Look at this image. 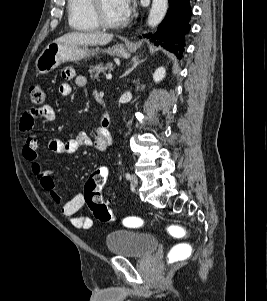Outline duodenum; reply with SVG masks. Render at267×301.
Listing matches in <instances>:
<instances>
[{
  "label": "duodenum",
  "mask_w": 267,
  "mask_h": 301,
  "mask_svg": "<svg viewBox=\"0 0 267 301\" xmlns=\"http://www.w3.org/2000/svg\"><path fill=\"white\" fill-rule=\"evenodd\" d=\"M97 101L103 106L105 107V102H104V99L102 97H100L99 94H96L95 95ZM110 123H111V118H110V115L109 113L104 110V113L102 115V119H101V125L104 129L106 130H109V126H110Z\"/></svg>",
  "instance_id": "obj_1"
}]
</instances>
